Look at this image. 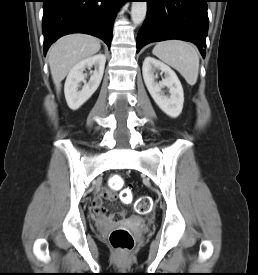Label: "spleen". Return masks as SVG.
Returning a JSON list of instances; mask_svg holds the SVG:
<instances>
[{
    "mask_svg": "<svg viewBox=\"0 0 258 275\" xmlns=\"http://www.w3.org/2000/svg\"><path fill=\"white\" fill-rule=\"evenodd\" d=\"M152 53L179 71L189 85L197 82L199 55L191 43L181 40L162 41L155 45Z\"/></svg>",
    "mask_w": 258,
    "mask_h": 275,
    "instance_id": "3e777b00",
    "label": "spleen"
}]
</instances>
